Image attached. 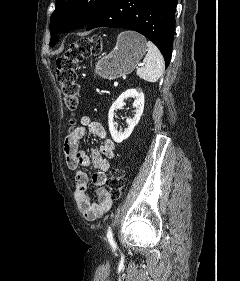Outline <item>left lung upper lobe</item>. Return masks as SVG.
I'll return each instance as SVG.
<instances>
[{"instance_id": "5c2ea615", "label": "left lung upper lobe", "mask_w": 240, "mask_h": 281, "mask_svg": "<svg viewBox=\"0 0 240 281\" xmlns=\"http://www.w3.org/2000/svg\"><path fill=\"white\" fill-rule=\"evenodd\" d=\"M106 2L107 0H56L49 27L52 32L50 45L59 41L55 33L88 25Z\"/></svg>"}]
</instances>
